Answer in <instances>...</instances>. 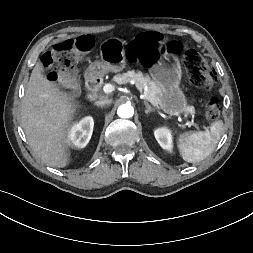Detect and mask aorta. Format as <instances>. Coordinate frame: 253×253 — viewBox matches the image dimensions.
<instances>
[{
  "label": "aorta",
  "mask_w": 253,
  "mask_h": 253,
  "mask_svg": "<svg viewBox=\"0 0 253 253\" xmlns=\"http://www.w3.org/2000/svg\"><path fill=\"white\" fill-rule=\"evenodd\" d=\"M117 114L121 118H130L134 114V108L130 104H123L118 107Z\"/></svg>",
  "instance_id": "aorta-1"
}]
</instances>
